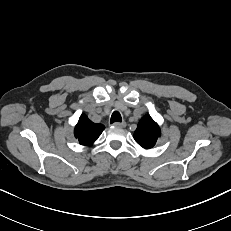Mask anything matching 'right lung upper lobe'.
<instances>
[{
  "mask_svg": "<svg viewBox=\"0 0 231 231\" xmlns=\"http://www.w3.org/2000/svg\"><path fill=\"white\" fill-rule=\"evenodd\" d=\"M102 124L93 123L88 117L83 114L75 127V137L81 145H92L104 130Z\"/></svg>",
  "mask_w": 231,
  "mask_h": 231,
  "instance_id": "obj_1",
  "label": "right lung upper lobe"
}]
</instances>
